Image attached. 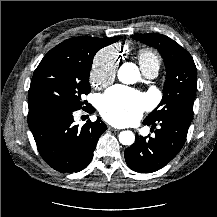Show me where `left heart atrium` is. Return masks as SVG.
I'll return each mask as SVG.
<instances>
[{"label":"left heart atrium","mask_w":217,"mask_h":217,"mask_svg":"<svg viewBox=\"0 0 217 217\" xmlns=\"http://www.w3.org/2000/svg\"><path fill=\"white\" fill-rule=\"evenodd\" d=\"M146 107L147 98L144 94L117 85L103 95L99 111L107 122L117 126H126L137 121Z\"/></svg>","instance_id":"1"}]
</instances>
